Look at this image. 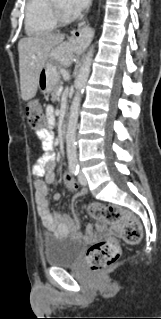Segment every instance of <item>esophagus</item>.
Masks as SVG:
<instances>
[{"label":"esophagus","mask_w":161,"mask_h":319,"mask_svg":"<svg viewBox=\"0 0 161 319\" xmlns=\"http://www.w3.org/2000/svg\"><path fill=\"white\" fill-rule=\"evenodd\" d=\"M71 38L75 39L82 46H88L90 43V31L87 25H80L77 29L71 31Z\"/></svg>","instance_id":"esophagus-1"}]
</instances>
